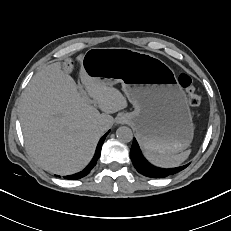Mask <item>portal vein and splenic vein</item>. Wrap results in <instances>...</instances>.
<instances>
[{"mask_svg": "<svg viewBox=\"0 0 231 231\" xmlns=\"http://www.w3.org/2000/svg\"><path fill=\"white\" fill-rule=\"evenodd\" d=\"M81 94L84 97V99L88 102V103H93V101L89 98V96L87 95V93L81 89Z\"/></svg>", "mask_w": 231, "mask_h": 231, "instance_id": "obj_1", "label": "portal vein and splenic vein"}]
</instances>
